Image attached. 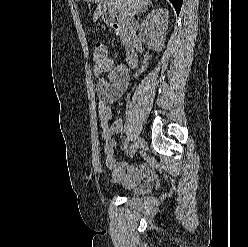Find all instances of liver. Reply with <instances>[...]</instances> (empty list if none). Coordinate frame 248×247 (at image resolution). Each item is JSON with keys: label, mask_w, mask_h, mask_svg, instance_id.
Listing matches in <instances>:
<instances>
[{"label": "liver", "mask_w": 248, "mask_h": 247, "mask_svg": "<svg viewBox=\"0 0 248 247\" xmlns=\"http://www.w3.org/2000/svg\"><path fill=\"white\" fill-rule=\"evenodd\" d=\"M80 1V0H77ZM84 2L98 3L97 9L93 15V21H96L107 9L118 12L122 18L134 16L144 7L148 6L150 0H81ZM115 10V11H114Z\"/></svg>", "instance_id": "1"}]
</instances>
